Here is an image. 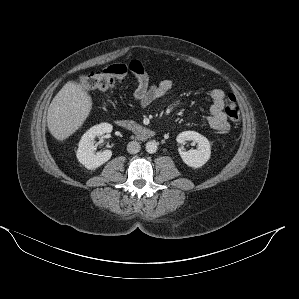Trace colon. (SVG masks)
Returning a JSON list of instances; mask_svg holds the SVG:
<instances>
[{
    "instance_id": "obj_1",
    "label": "colon",
    "mask_w": 299,
    "mask_h": 299,
    "mask_svg": "<svg viewBox=\"0 0 299 299\" xmlns=\"http://www.w3.org/2000/svg\"><path fill=\"white\" fill-rule=\"evenodd\" d=\"M127 72L125 65H113L103 70L82 75L79 83L85 91H105L113 87L117 82L122 81L126 77ZM225 112L230 120L237 121L239 119L240 110L233 93L227 95Z\"/></svg>"
}]
</instances>
